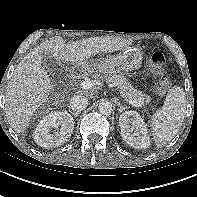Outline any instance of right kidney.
I'll return each instance as SVG.
<instances>
[{"mask_svg":"<svg viewBox=\"0 0 197 197\" xmlns=\"http://www.w3.org/2000/svg\"><path fill=\"white\" fill-rule=\"evenodd\" d=\"M73 128L74 119L69 113L51 112L39 122L34 139L41 147H58L71 136Z\"/></svg>","mask_w":197,"mask_h":197,"instance_id":"ca27d5eb","label":"right kidney"}]
</instances>
